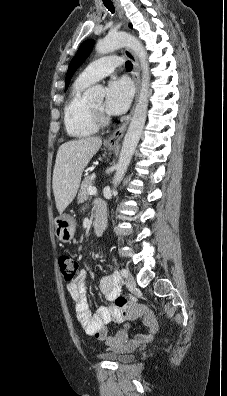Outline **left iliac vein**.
Returning a JSON list of instances; mask_svg holds the SVG:
<instances>
[{"instance_id":"1","label":"left iliac vein","mask_w":227,"mask_h":396,"mask_svg":"<svg viewBox=\"0 0 227 396\" xmlns=\"http://www.w3.org/2000/svg\"><path fill=\"white\" fill-rule=\"evenodd\" d=\"M125 283L129 289H133L136 286L135 279L130 273H128Z\"/></svg>"}]
</instances>
